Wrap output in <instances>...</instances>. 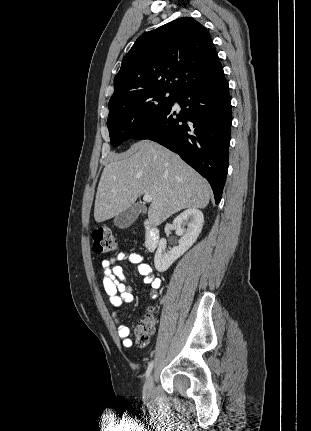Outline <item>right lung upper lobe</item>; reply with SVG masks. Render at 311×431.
<instances>
[{"instance_id":"obj_1","label":"right lung upper lobe","mask_w":311,"mask_h":431,"mask_svg":"<svg viewBox=\"0 0 311 431\" xmlns=\"http://www.w3.org/2000/svg\"><path fill=\"white\" fill-rule=\"evenodd\" d=\"M222 70L209 32L183 17L136 40L115 76L110 99L151 90L178 93Z\"/></svg>"}]
</instances>
